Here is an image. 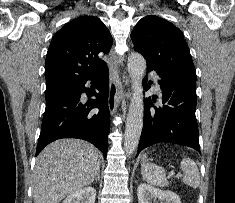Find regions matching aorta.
Listing matches in <instances>:
<instances>
[{"label":"aorta","mask_w":235,"mask_h":203,"mask_svg":"<svg viewBox=\"0 0 235 203\" xmlns=\"http://www.w3.org/2000/svg\"><path fill=\"white\" fill-rule=\"evenodd\" d=\"M128 72L132 82V99L126 120L124 149L131 156L139 143L143 128L144 102L142 80L146 68V60L136 52L128 57Z\"/></svg>","instance_id":"1"}]
</instances>
